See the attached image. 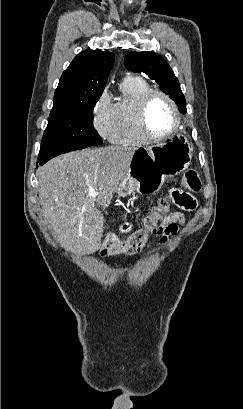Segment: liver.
Returning <instances> with one entry per match:
<instances>
[{
    "mask_svg": "<svg viewBox=\"0 0 243 409\" xmlns=\"http://www.w3.org/2000/svg\"><path fill=\"white\" fill-rule=\"evenodd\" d=\"M136 147L108 146L56 157L39 167L42 215L59 242L71 252L100 246L104 209L130 170ZM97 191L90 197L88 189Z\"/></svg>",
    "mask_w": 243,
    "mask_h": 409,
    "instance_id": "liver-1",
    "label": "liver"
}]
</instances>
